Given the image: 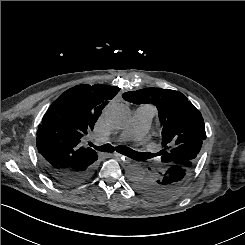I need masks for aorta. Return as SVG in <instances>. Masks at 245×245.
Segmentation results:
<instances>
[{
    "label": "aorta",
    "mask_w": 245,
    "mask_h": 245,
    "mask_svg": "<svg viewBox=\"0 0 245 245\" xmlns=\"http://www.w3.org/2000/svg\"><path fill=\"white\" fill-rule=\"evenodd\" d=\"M104 119L109 126L123 129L130 120L129 108L121 103H112L104 110ZM126 177L134 182L145 175V170L138 164H130L125 170Z\"/></svg>",
    "instance_id": "762f6f07"
}]
</instances>
